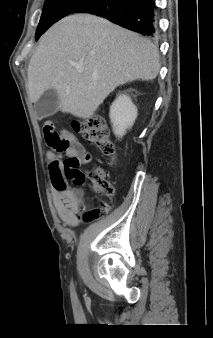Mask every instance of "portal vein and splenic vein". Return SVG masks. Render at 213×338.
Instances as JSON below:
<instances>
[{"label":"portal vein and splenic vein","mask_w":213,"mask_h":338,"mask_svg":"<svg viewBox=\"0 0 213 338\" xmlns=\"http://www.w3.org/2000/svg\"><path fill=\"white\" fill-rule=\"evenodd\" d=\"M76 68H77V71H78L79 73H82V72H83V69H82V67H80V66H77Z\"/></svg>","instance_id":"obj_1"}]
</instances>
